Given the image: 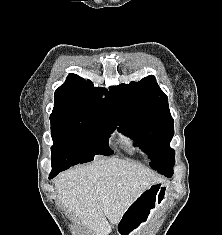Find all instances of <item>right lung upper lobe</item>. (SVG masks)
Instances as JSON below:
<instances>
[{
    "label": "right lung upper lobe",
    "instance_id": "1",
    "mask_svg": "<svg viewBox=\"0 0 222 235\" xmlns=\"http://www.w3.org/2000/svg\"><path fill=\"white\" fill-rule=\"evenodd\" d=\"M61 114H93L117 120L111 89L109 93L106 89L96 88L91 81L76 74H69L55 91L51 116Z\"/></svg>",
    "mask_w": 222,
    "mask_h": 235
}]
</instances>
